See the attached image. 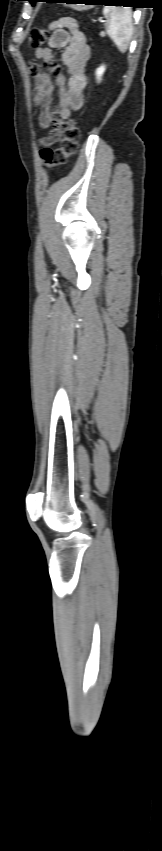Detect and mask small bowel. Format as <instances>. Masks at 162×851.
Segmentation results:
<instances>
[{"label":"small bowel","mask_w":162,"mask_h":851,"mask_svg":"<svg viewBox=\"0 0 162 851\" xmlns=\"http://www.w3.org/2000/svg\"><path fill=\"white\" fill-rule=\"evenodd\" d=\"M57 48H64L61 60L67 68L68 79L59 71L54 61L53 50ZM35 56L43 60L45 64L39 66L31 63L29 66L35 82L33 100L41 109L40 126L48 128L51 123L58 125L64 122L73 111L83 106V90L86 86L85 67L90 58V48L77 21L72 17H63L52 23L48 46L36 49ZM42 68H46L47 71H43ZM55 85L58 88V102L57 107L53 109ZM54 130L48 136L41 138L42 145L49 146L59 140Z\"/></svg>","instance_id":"c3829d8e"}]
</instances>
